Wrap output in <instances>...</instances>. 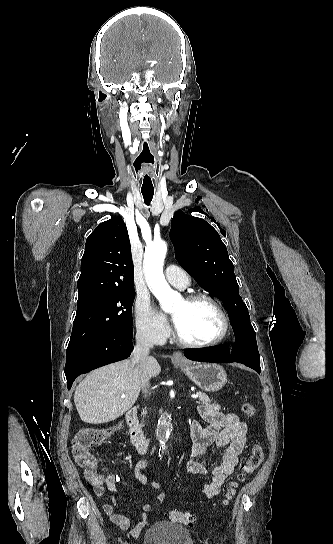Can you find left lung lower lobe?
I'll list each match as a JSON object with an SVG mask.
<instances>
[{
    "label": "left lung lower lobe",
    "instance_id": "left-lung-lower-lobe-1",
    "mask_svg": "<svg viewBox=\"0 0 333 544\" xmlns=\"http://www.w3.org/2000/svg\"><path fill=\"white\" fill-rule=\"evenodd\" d=\"M184 351L185 356L191 360L208 361L210 359H213L214 362L220 363L239 362L254 369L259 374L261 371L260 357L258 350L255 346L253 349H243L240 356L235 355L234 350L232 354H228V348L224 345H220L210 349H185Z\"/></svg>",
    "mask_w": 333,
    "mask_h": 544
}]
</instances>
